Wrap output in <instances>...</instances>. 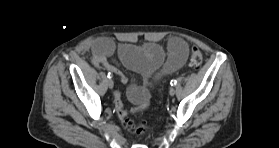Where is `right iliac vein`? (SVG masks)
<instances>
[{"label": "right iliac vein", "instance_id": "1", "mask_svg": "<svg viewBox=\"0 0 279 148\" xmlns=\"http://www.w3.org/2000/svg\"><path fill=\"white\" fill-rule=\"evenodd\" d=\"M107 85H108V87H109L110 89H112V88L114 87V82H113V80H112L111 78H109V79L107 80Z\"/></svg>", "mask_w": 279, "mask_h": 148}]
</instances>
